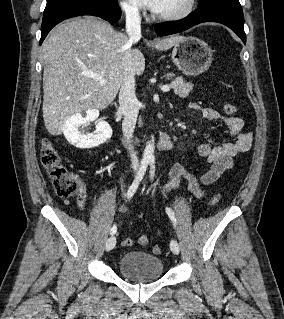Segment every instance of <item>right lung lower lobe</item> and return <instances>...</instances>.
<instances>
[{"label": "right lung lower lobe", "instance_id": "right-lung-lower-lobe-1", "mask_svg": "<svg viewBox=\"0 0 284 319\" xmlns=\"http://www.w3.org/2000/svg\"><path fill=\"white\" fill-rule=\"evenodd\" d=\"M81 15H92L115 23L121 17V9L118 4L97 5V4H70L56 8L48 13H44L42 21L40 44L44 41L49 31L61 21Z\"/></svg>", "mask_w": 284, "mask_h": 319}]
</instances>
